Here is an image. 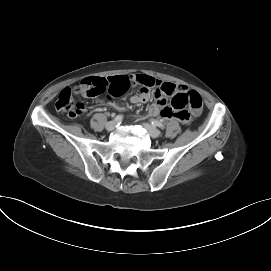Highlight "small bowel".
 <instances>
[{
    "label": "small bowel",
    "mask_w": 271,
    "mask_h": 271,
    "mask_svg": "<svg viewBox=\"0 0 271 271\" xmlns=\"http://www.w3.org/2000/svg\"><path fill=\"white\" fill-rule=\"evenodd\" d=\"M94 82L96 84H92ZM81 84L80 94L82 96L100 97L102 94H105L109 99H121L135 85H140L138 92L129 97V101L132 104L146 103L153 95L155 102L149 108L150 114L161 115L166 119H177L182 123L190 121V114L187 110L177 109L167 103V97H174L176 94L188 92V88L184 85L164 82L146 74L109 76L107 78L91 77L83 80ZM183 114H186L188 117L183 118Z\"/></svg>",
    "instance_id": "small-bowel-1"
}]
</instances>
